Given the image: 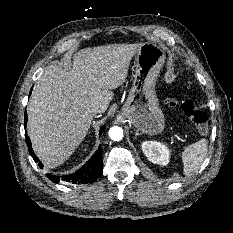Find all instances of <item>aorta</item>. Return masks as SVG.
Returning <instances> with one entry per match:
<instances>
[{
  "label": "aorta",
  "mask_w": 233,
  "mask_h": 233,
  "mask_svg": "<svg viewBox=\"0 0 233 233\" xmlns=\"http://www.w3.org/2000/svg\"><path fill=\"white\" fill-rule=\"evenodd\" d=\"M109 137L113 141H120L123 138V129L118 126H113L109 130Z\"/></svg>",
  "instance_id": "1"
}]
</instances>
